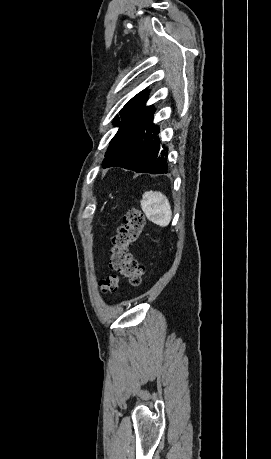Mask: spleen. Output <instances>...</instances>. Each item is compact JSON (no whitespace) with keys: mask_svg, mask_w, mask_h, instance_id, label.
<instances>
[{"mask_svg":"<svg viewBox=\"0 0 271 459\" xmlns=\"http://www.w3.org/2000/svg\"><path fill=\"white\" fill-rule=\"evenodd\" d=\"M148 220L157 226H168L171 222V206L161 192H144L140 202Z\"/></svg>","mask_w":271,"mask_h":459,"instance_id":"3e777b00","label":"spleen"}]
</instances>
